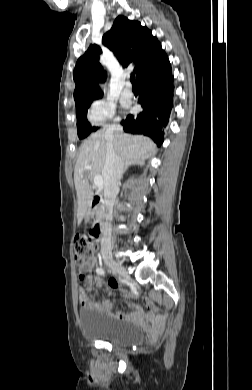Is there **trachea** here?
<instances>
[{"label":"trachea","instance_id":"1","mask_svg":"<svg viewBox=\"0 0 252 390\" xmlns=\"http://www.w3.org/2000/svg\"><path fill=\"white\" fill-rule=\"evenodd\" d=\"M130 81H131V83H132L133 88H137V87H138L137 81H136V79H135V74H132V75H131Z\"/></svg>","mask_w":252,"mask_h":390}]
</instances>
